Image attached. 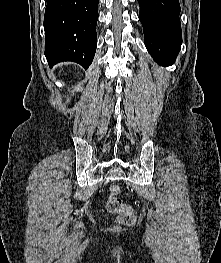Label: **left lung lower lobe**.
<instances>
[{
  "label": "left lung lower lobe",
  "instance_id": "0a47b994",
  "mask_svg": "<svg viewBox=\"0 0 221 263\" xmlns=\"http://www.w3.org/2000/svg\"><path fill=\"white\" fill-rule=\"evenodd\" d=\"M138 3L148 52L159 65H172L182 44L179 1L138 0Z\"/></svg>",
  "mask_w": 221,
  "mask_h": 263
}]
</instances>
